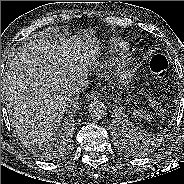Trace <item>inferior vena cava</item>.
<instances>
[{
  "label": "inferior vena cava",
  "instance_id": "obj_1",
  "mask_svg": "<svg viewBox=\"0 0 184 184\" xmlns=\"http://www.w3.org/2000/svg\"><path fill=\"white\" fill-rule=\"evenodd\" d=\"M89 81L86 74H75L70 79V83L68 85L69 93H78L84 91L88 87Z\"/></svg>",
  "mask_w": 184,
  "mask_h": 184
}]
</instances>
